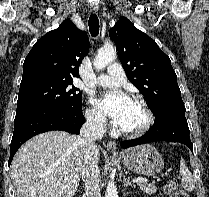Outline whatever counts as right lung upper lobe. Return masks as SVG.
Here are the masks:
<instances>
[{"label":"right lung upper lobe","mask_w":209,"mask_h":197,"mask_svg":"<svg viewBox=\"0 0 209 197\" xmlns=\"http://www.w3.org/2000/svg\"><path fill=\"white\" fill-rule=\"evenodd\" d=\"M89 50V39L70 20L43 37L32 47L23 64L21 84L36 80H72Z\"/></svg>","instance_id":"1"}]
</instances>
